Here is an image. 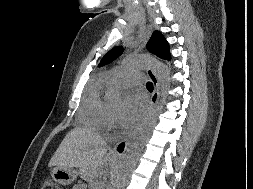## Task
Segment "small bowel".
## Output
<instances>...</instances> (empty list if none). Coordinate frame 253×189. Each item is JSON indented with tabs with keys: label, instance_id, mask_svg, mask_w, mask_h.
<instances>
[{
	"label": "small bowel",
	"instance_id": "small-bowel-1",
	"mask_svg": "<svg viewBox=\"0 0 253 189\" xmlns=\"http://www.w3.org/2000/svg\"><path fill=\"white\" fill-rule=\"evenodd\" d=\"M73 189H85L83 185H76Z\"/></svg>",
	"mask_w": 253,
	"mask_h": 189
}]
</instances>
